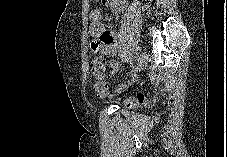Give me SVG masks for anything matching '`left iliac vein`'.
I'll list each match as a JSON object with an SVG mask.
<instances>
[{
    "mask_svg": "<svg viewBox=\"0 0 227 157\" xmlns=\"http://www.w3.org/2000/svg\"><path fill=\"white\" fill-rule=\"evenodd\" d=\"M148 55L146 52H143L137 58V70L135 71L134 76H136L137 71L143 70L147 66ZM126 85H122L120 88L117 89V92L121 91Z\"/></svg>",
    "mask_w": 227,
    "mask_h": 157,
    "instance_id": "obj_1",
    "label": "left iliac vein"
}]
</instances>
